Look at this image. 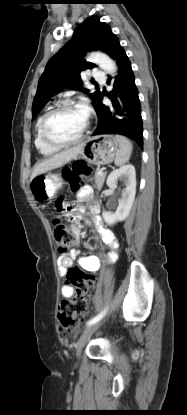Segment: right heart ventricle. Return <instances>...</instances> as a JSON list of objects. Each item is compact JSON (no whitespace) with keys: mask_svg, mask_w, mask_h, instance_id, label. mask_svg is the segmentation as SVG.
I'll list each match as a JSON object with an SVG mask.
<instances>
[{"mask_svg":"<svg viewBox=\"0 0 187 415\" xmlns=\"http://www.w3.org/2000/svg\"><path fill=\"white\" fill-rule=\"evenodd\" d=\"M44 115L45 114H42L38 118V120L36 122V126H35V140H34V143H35V146H36L37 150L41 154H43L45 156H50V155H53L56 152H58L60 150V148L53 147V146H50V145L46 144L44 142V140L42 139V137H41V134H40V125H41V122H42V119H43Z\"/></svg>","mask_w":187,"mask_h":415,"instance_id":"obj_1","label":"right heart ventricle"}]
</instances>
